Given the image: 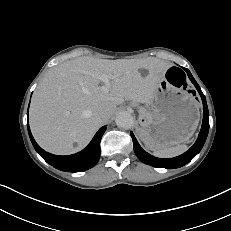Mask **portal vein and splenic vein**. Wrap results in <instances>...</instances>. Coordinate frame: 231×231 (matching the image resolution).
I'll return each mask as SVG.
<instances>
[{"label":"portal vein and splenic vein","instance_id":"18ae733b","mask_svg":"<svg viewBox=\"0 0 231 231\" xmlns=\"http://www.w3.org/2000/svg\"><path fill=\"white\" fill-rule=\"evenodd\" d=\"M99 79L105 84L104 86H102V90L107 92L110 86V79L108 75L102 74L99 76Z\"/></svg>","mask_w":231,"mask_h":231}]
</instances>
